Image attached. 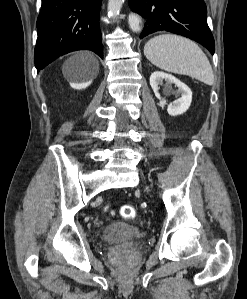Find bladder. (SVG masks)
I'll use <instances>...</instances> for the list:
<instances>
[{
    "label": "bladder",
    "mask_w": 247,
    "mask_h": 299,
    "mask_svg": "<svg viewBox=\"0 0 247 299\" xmlns=\"http://www.w3.org/2000/svg\"><path fill=\"white\" fill-rule=\"evenodd\" d=\"M143 235V231L137 226L116 222L103 230L102 239L106 242H116L124 239L141 238Z\"/></svg>",
    "instance_id": "bladder-1"
}]
</instances>
